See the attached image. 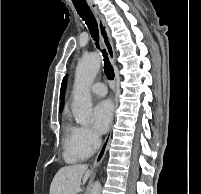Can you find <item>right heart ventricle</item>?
Instances as JSON below:
<instances>
[{
  "label": "right heart ventricle",
  "instance_id": "e07e8e85",
  "mask_svg": "<svg viewBox=\"0 0 201 194\" xmlns=\"http://www.w3.org/2000/svg\"><path fill=\"white\" fill-rule=\"evenodd\" d=\"M72 129H73V127H71V126H67L66 127V133H65L64 143H65V148H66V152H67V159L70 162H76V161L85 159L87 156L79 154V153L75 152L72 149V146H71V133H72Z\"/></svg>",
  "mask_w": 201,
  "mask_h": 194
}]
</instances>
